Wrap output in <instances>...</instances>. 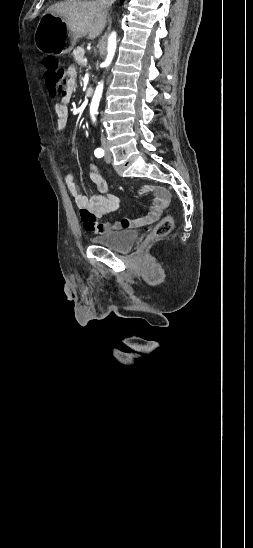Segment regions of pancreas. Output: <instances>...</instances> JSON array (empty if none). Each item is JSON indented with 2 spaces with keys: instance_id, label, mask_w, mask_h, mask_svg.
I'll return each mask as SVG.
<instances>
[{
  "instance_id": "cf45deb5",
  "label": "pancreas",
  "mask_w": 253,
  "mask_h": 548,
  "mask_svg": "<svg viewBox=\"0 0 253 548\" xmlns=\"http://www.w3.org/2000/svg\"><path fill=\"white\" fill-rule=\"evenodd\" d=\"M84 54H85V51L83 49V47H77L76 49H74L72 55L75 59V61L79 64V65H82V62L81 60L84 58Z\"/></svg>"
}]
</instances>
